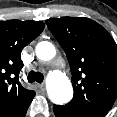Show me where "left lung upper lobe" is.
I'll list each match as a JSON object with an SVG mask.
<instances>
[{
  "label": "left lung upper lobe",
  "instance_id": "obj_1",
  "mask_svg": "<svg viewBox=\"0 0 117 117\" xmlns=\"http://www.w3.org/2000/svg\"><path fill=\"white\" fill-rule=\"evenodd\" d=\"M45 22L70 65L74 96L66 105L106 114L117 96V44L89 18L62 17Z\"/></svg>",
  "mask_w": 117,
  "mask_h": 117
}]
</instances>
